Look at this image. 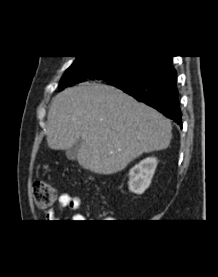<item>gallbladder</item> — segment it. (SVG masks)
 Returning a JSON list of instances; mask_svg holds the SVG:
<instances>
[{
	"label": "gallbladder",
	"mask_w": 218,
	"mask_h": 277,
	"mask_svg": "<svg viewBox=\"0 0 218 277\" xmlns=\"http://www.w3.org/2000/svg\"><path fill=\"white\" fill-rule=\"evenodd\" d=\"M82 145H83V140L81 138H79L78 140H76L74 142L72 147H70L69 149L66 150V157L69 160H76L78 151L80 150Z\"/></svg>",
	"instance_id": "gallbladder-1"
}]
</instances>
